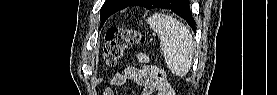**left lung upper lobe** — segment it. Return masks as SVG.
<instances>
[{
    "label": "left lung upper lobe",
    "instance_id": "obj_1",
    "mask_svg": "<svg viewBox=\"0 0 277 95\" xmlns=\"http://www.w3.org/2000/svg\"><path fill=\"white\" fill-rule=\"evenodd\" d=\"M149 1L150 2H149L148 8L150 9V8L159 7L164 0H149ZM181 1L182 0H176V5H179ZM132 2L133 0H106L100 10V13H101L100 28L103 26V24L108 19V17H110L115 12L128 7Z\"/></svg>",
    "mask_w": 277,
    "mask_h": 95
}]
</instances>
